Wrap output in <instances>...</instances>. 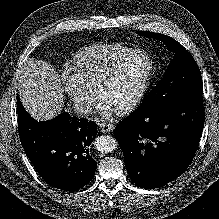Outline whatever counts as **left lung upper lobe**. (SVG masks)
<instances>
[{"label":"left lung upper lobe","instance_id":"obj_1","mask_svg":"<svg viewBox=\"0 0 219 219\" xmlns=\"http://www.w3.org/2000/svg\"><path fill=\"white\" fill-rule=\"evenodd\" d=\"M138 34L164 42L174 57L161 80L145 96L136 112L156 111L178 99L202 95L203 83L199 67L180 43L164 34L149 31H138Z\"/></svg>","mask_w":219,"mask_h":219}]
</instances>
